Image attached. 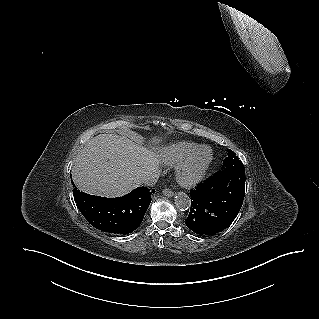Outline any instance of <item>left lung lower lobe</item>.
I'll list each match as a JSON object with an SVG mask.
<instances>
[{"label": "left lung lower lobe", "mask_w": 319, "mask_h": 319, "mask_svg": "<svg viewBox=\"0 0 319 319\" xmlns=\"http://www.w3.org/2000/svg\"><path fill=\"white\" fill-rule=\"evenodd\" d=\"M245 196V171L220 170L191 191L186 226L197 234L226 229L238 215Z\"/></svg>", "instance_id": "0a47b994"}]
</instances>
